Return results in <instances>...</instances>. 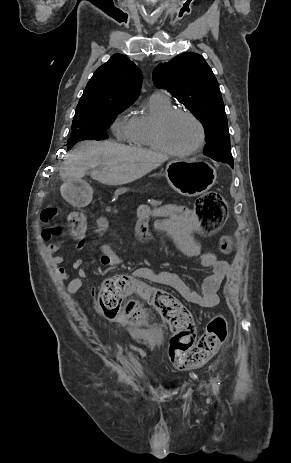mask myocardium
I'll list each match as a JSON object with an SVG mask.
<instances>
[{"instance_id": "f54148a6", "label": "myocardium", "mask_w": 291, "mask_h": 463, "mask_svg": "<svg viewBox=\"0 0 291 463\" xmlns=\"http://www.w3.org/2000/svg\"><path fill=\"white\" fill-rule=\"evenodd\" d=\"M177 116L189 117L191 120H193L196 123V125L199 128V133H200L199 141L194 147L188 150L178 151V150L173 149L166 142L165 137H164L165 127L172 119H174ZM153 138H154V142L157 148L160 151L170 156H174V157H188V156H191L199 152L204 147L205 142H206V129L202 121L191 111L184 110V109H171L168 112L161 115L155 121L154 126H153Z\"/></svg>"}]
</instances>
